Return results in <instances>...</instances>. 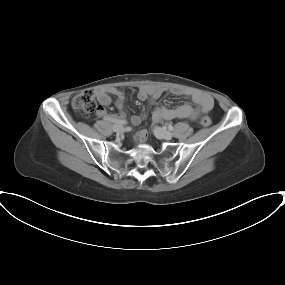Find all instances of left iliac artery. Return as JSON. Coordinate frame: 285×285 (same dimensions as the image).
I'll return each instance as SVG.
<instances>
[{"label":"left iliac artery","mask_w":285,"mask_h":285,"mask_svg":"<svg viewBox=\"0 0 285 285\" xmlns=\"http://www.w3.org/2000/svg\"><path fill=\"white\" fill-rule=\"evenodd\" d=\"M168 129H169L170 131H172V130H173V126H172L171 124H169V125H168Z\"/></svg>","instance_id":"44dca946"}]
</instances>
